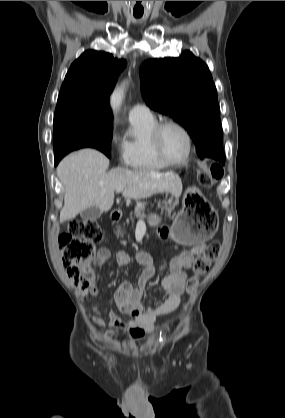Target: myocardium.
Returning a JSON list of instances; mask_svg holds the SVG:
<instances>
[{"label":"myocardium","instance_id":"obj_1","mask_svg":"<svg viewBox=\"0 0 285 418\" xmlns=\"http://www.w3.org/2000/svg\"><path fill=\"white\" fill-rule=\"evenodd\" d=\"M169 126H174L176 128H178L179 130H181L183 132V134L186 137L187 140V152L186 155L184 156V158L180 161H172L170 160L164 153V150L162 148L161 145V134L162 131ZM150 143L151 146L153 147V150L156 154V156L162 161L164 162L166 165L168 166H179V165H183L185 163L188 162V160L191 157L192 151H193V140H192V136L189 132V130L180 122H177L175 120H164L161 121L159 123L156 124V126L153 128L151 135H150Z\"/></svg>","mask_w":285,"mask_h":418}]
</instances>
